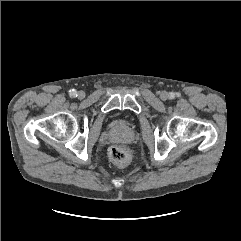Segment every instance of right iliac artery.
<instances>
[{"instance_id":"right-iliac-artery-1","label":"right iliac artery","mask_w":241,"mask_h":241,"mask_svg":"<svg viewBox=\"0 0 241 241\" xmlns=\"http://www.w3.org/2000/svg\"><path fill=\"white\" fill-rule=\"evenodd\" d=\"M69 95L74 98V97L77 96V91H76L75 89H71V90L69 91Z\"/></svg>"}]
</instances>
